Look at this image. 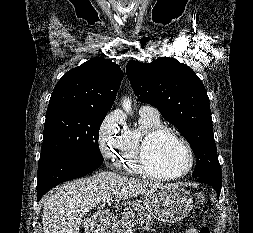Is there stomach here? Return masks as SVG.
<instances>
[{
  "label": "stomach",
  "instance_id": "stomach-1",
  "mask_svg": "<svg viewBox=\"0 0 253 233\" xmlns=\"http://www.w3.org/2000/svg\"><path fill=\"white\" fill-rule=\"evenodd\" d=\"M144 205L155 219L172 224L183 220L189 214L193 199L184 188L178 185H165L146 193Z\"/></svg>",
  "mask_w": 253,
  "mask_h": 233
}]
</instances>
